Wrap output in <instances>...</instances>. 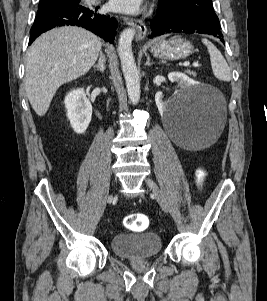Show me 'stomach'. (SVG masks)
Segmentation results:
<instances>
[{
    "instance_id": "obj_1",
    "label": "stomach",
    "mask_w": 267,
    "mask_h": 301,
    "mask_svg": "<svg viewBox=\"0 0 267 301\" xmlns=\"http://www.w3.org/2000/svg\"><path fill=\"white\" fill-rule=\"evenodd\" d=\"M150 50L155 57L166 60H179L191 55L193 46L184 39H171L152 43Z\"/></svg>"
}]
</instances>
